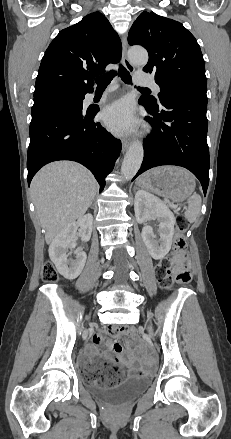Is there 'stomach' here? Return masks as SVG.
<instances>
[{
    "label": "stomach",
    "instance_id": "stomach-1",
    "mask_svg": "<svg viewBox=\"0 0 231 439\" xmlns=\"http://www.w3.org/2000/svg\"><path fill=\"white\" fill-rule=\"evenodd\" d=\"M141 185L168 200L182 202L195 189L194 176L181 167L163 166L146 172L140 178Z\"/></svg>",
    "mask_w": 231,
    "mask_h": 439
}]
</instances>
